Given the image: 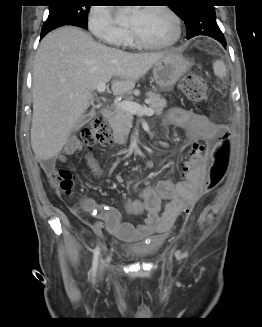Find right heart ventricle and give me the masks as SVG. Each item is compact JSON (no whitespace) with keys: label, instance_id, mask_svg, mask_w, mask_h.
<instances>
[{"label":"right heart ventricle","instance_id":"1","mask_svg":"<svg viewBox=\"0 0 262 327\" xmlns=\"http://www.w3.org/2000/svg\"><path fill=\"white\" fill-rule=\"evenodd\" d=\"M134 44H135L134 40L132 39V37L129 36L127 39L126 45L133 46Z\"/></svg>","mask_w":262,"mask_h":327}]
</instances>
